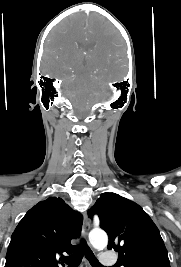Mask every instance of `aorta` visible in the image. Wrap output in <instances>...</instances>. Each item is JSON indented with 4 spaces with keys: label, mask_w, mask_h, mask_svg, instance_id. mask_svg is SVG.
Instances as JSON below:
<instances>
[{
    "label": "aorta",
    "mask_w": 181,
    "mask_h": 267,
    "mask_svg": "<svg viewBox=\"0 0 181 267\" xmlns=\"http://www.w3.org/2000/svg\"><path fill=\"white\" fill-rule=\"evenodd\" d=\"M89 241L95 249L103 250L108 244V237L102 230H93L89 234Z\"/></svg>",
    "instance_id": "1"
}]
</instances>
